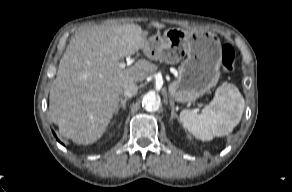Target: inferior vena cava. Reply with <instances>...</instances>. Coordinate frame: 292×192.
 <instances>
[{"label":"inferior vena cava","mask_w":292,"mask_h":192,"mask_svg":"<svg viewBox=\"0 0 292 192\" xmlns=\"http://www.w3.org/2000/svg\"><path fill=\"white\" fill-rule=\"evenodd\" d=\"M123 89L124 96L128 98L136 95V93L138 92V86L135 83H126Z\"/></svg>","instance_id":"1"}]
</instances>
